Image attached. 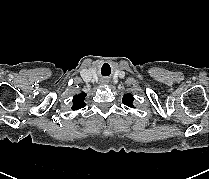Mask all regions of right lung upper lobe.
<instances>
[{
	"label": "right lung upper lobe",
	"instance_id": "1",
	"mask_svg": "<svg viewBox=\"0 0 209 179\" xmlns=\"http://www.w3.org/2000/svg\"><path fill=\"white\" fill-rule=\"evenodd\" d=\"M85 96H86L85 93H80V94L75 95L73 97L72 110H78V109H81V108L85 107V105H86L85 102H84Z\"/></svg>",
	"mask_w": 209,
	"mask_h": 179
}]
</instances>
